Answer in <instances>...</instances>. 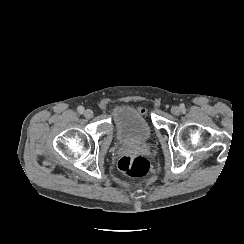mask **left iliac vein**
<instances>
[{"label":"left iliac vein","instance_id":"1","mask_svg":"<svg viewBox=\"0 0 244 244\" xmlns=\"http://www.w3.org/2000/svg\"><path fill=\"white\" fill-rule=\"evenodd\" d=\"M171 113L173 115H180L181 109L178 106H172L171 107Z\"/></svg>","mask_w":244,"mask_h":244}]
</instances>
